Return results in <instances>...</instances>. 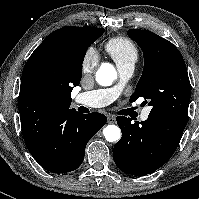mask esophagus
I'll use <instances>...</instances> for the list:
<instances>
[{
  "label": "esophagus",
  "instance_id": "obj_1",
  "mask_svg": "<svg viewBox=\"0 0 199 199\" xmlns=\"http://www.w3.org/2000/svg\"><path fill=\"white\" fill-rule=\"evenodd\" d=\"M108 123L113 124L115 123V118L113 116L108 117Z\"/></svg>",
  "mask_w": 199,
  "mask_h": 199
}]
</instances>
